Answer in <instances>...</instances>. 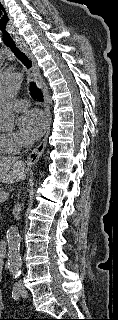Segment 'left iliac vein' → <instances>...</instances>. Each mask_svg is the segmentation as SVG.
Returning a JSON list of instances; mask_svg holds the SVG:
<instances>
[{
	"mask_svg": "<svg viewBox=\"0 0 118 320\" xmlns=\"http://www.w3.org/2000/svg\"><path fill=\"white\" fill-rule=\"evenodd\" d=\"M19 286H20V294L23 298H27L28 297V292L25 289L24 285L22 282H19Z\"/></svg>",
	"mask_w": 118,
	"mask_h": 320,
	"instance_id": "obj_1",
	"label": "left iliac vein"
}]
</instances>
